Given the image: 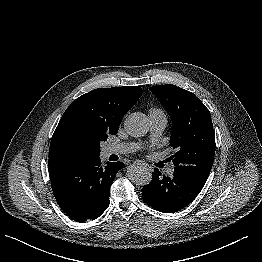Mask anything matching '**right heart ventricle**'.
Returning <instances> with one entry per match:
<instances>
[{"mask_svg": "<svg viewBox=\"0 0 262 262\" xmlns=\"http://www.w3.org/2000/svg\"><path fill=\"white\" fill-rule=\"evenodd\" d=\"M160 113H163V112L159 109L153 108L150 110L149 114H160Z\"/></svg>", "mask_w": 262, "mask_h": 262, "instance_id": "1", "label": "right heart ventricle"}]
</instances>
